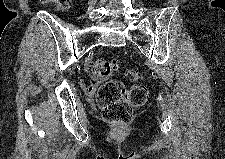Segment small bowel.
<instances>
[{
    "instance_id": "small-bowel-1",
    "label": "small bowel",
    "mask_w": 225,
    "mask_h": 159,
    "mask_svg": "<svg viewBox=\"0 0 225 159\" xmlns=\"http://www.w3.org/2000/svg\"><path fill=\"white\" fill-rule=\"evenodd\" d=\"M96 85H97V80L95 78H93L92 81L90 82L86 80H83L81 82V86L87 94H93L96 90Z\"/></svg>"
}]
</instances>
